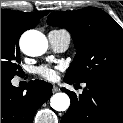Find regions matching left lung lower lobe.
Listing matches in <instances>:
<instances>
[{
    "mask_svg": "<svg viewBox=\"0 0 123 123\" xmlns=\"http://www.w3.org/2000/svg\"><path fill=\"white\" fill-rule=\"evenodd\" d=\"M68 84L74 81L64 78ZM79 96L65 91L71 98L61 123H123V78H103L86 81Z\"/></svg>",
    "mask_w": 123,
    "mask_h": 123,
    "instance_id": "left-lung-lower-lobe-1",
    "label": "left lung lower lobe"
}]
</instances>
